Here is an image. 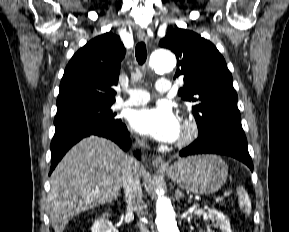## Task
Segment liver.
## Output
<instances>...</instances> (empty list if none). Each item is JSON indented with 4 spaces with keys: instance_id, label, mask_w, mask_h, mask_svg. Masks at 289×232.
I'll list each match as a JSON object with an SVG mask.
<instances>
[{
    "instance_id": "1",
    "label": "liver",
    "mask_w": 289,
    "mask_h": 232,
    "mask_svg": "<svg viewBox=\"0 0 289 232\" xmlns=\"http://www.w3.org/2000/svg\"><path fill=\"white\" fill-rule=\"evenodd\" d=\"M128 159L115 143L98 136L71 148L50 178L48 212L54 231L63 232L75 215L116 199Z\"/></svg>"
}]
</instances>
